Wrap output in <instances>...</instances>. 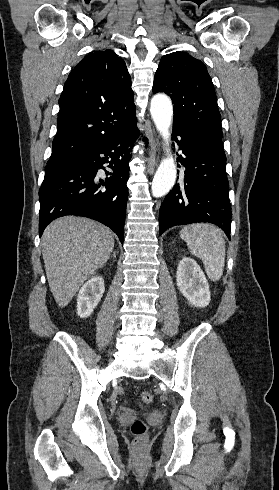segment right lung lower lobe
Listing matches in <instances>:
<instances>
[{
	"label": "right lung lower lobe",
	"instance_id": "98d812e1",
	"mask_svg": "<svg viewBox=\"0 0 279 490\" xmlns=\"http://www.w3.org/2000/svg\"><path fill=\"white\" fill-rule=\"evenodd\" d=\"M138 136L136 126L99 145L96 149L65 162L60 170L44 178L39 190V235L54 219L66 215L97 220L124 238L130 152ZM109 163L105 181L97 172Z\"/></svg>",
	"mask_w": 279,
	"mask_h": 490
}]
</instances>
